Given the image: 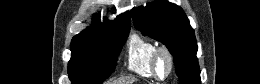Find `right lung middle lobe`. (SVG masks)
I'll use <instances>...</instances> for the list:
<instances>
[{
  "label": "right lung middle lobe",
  "mask_w": 260,
  "mask_h": 84,
  "mask_svg": "<svg viewBox=\"0 0 260 84\" xmlns=\"http://www.w3.org/2000/svg\"><path fill=\"white\" fill-rule=\"evenodd\" d=\"M129 31L109 32L95 40L71 44L68 74L72 84H101L114 71Z\"/></svg>",
  "instance_id": "dd1d6c3e"
}]
</instances>
